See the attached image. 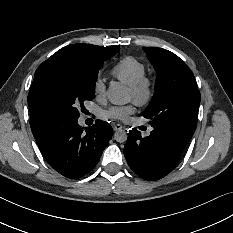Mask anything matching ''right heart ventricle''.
<instances>
[{
    "mask_svg": "<svg viewBox=\"0 0 233 233\" xmlns=\"http://www.w3.org/2000/svg\"><path fill=\"white\" fill-rule=\"evenodd\" d=\"M145 71V65L138 58L125 56L114 65L112 75L123 84L130 86L136 83Z\"/></svg>",
    "mask_w": 233,
    "mask_h": 233,
    "instance_id": "right-heart-ventricle-1",
    "label": "right heart ventricle"
}]
</instances>
